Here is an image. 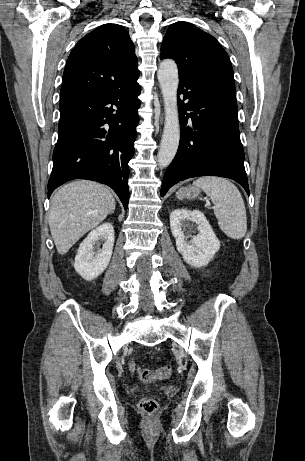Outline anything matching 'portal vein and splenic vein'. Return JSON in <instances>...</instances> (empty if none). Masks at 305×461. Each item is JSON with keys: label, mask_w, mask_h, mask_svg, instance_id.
I'll use <instances>...</instances> for the list:
<instances>
[{"label": "portal vein and splenic vein", "mask_w": 305, "mask_h": 461, "mask_svg": "<svg viewBox=\"0 0 305 461\" xmlns=\"http://www.w3.org/2000/svg\"><path fill=\"white\" fill-rule=\"evenodd\" d=\"M207 205H210V203L208 201H206Z\"/></svg>", "instance_id": "portal-vein-and-splenic-vein-1"}]
</instances>
